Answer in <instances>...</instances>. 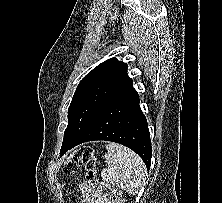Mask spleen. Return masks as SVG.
I'll list each match as a JSON object with an SVG mask.
<instances>
[{
    "instance_id": "3e777b00",
    "label": "spleen",
    "mask_w": 222,
    "mask_h": 203,
    "mask_svg": "<svg viewBox=\"0 0 222 203\" xmlns=\"http://www.w3.org/2000/svg\"><path fill=\"white\" fill-rule=\"evenodd\" d=\"M104 158L108 168L101 172L102 179L130 194L140 190L146 181L147 170L142 159L129 148L109 143Z\"/></svg>"
}]
</instances>
